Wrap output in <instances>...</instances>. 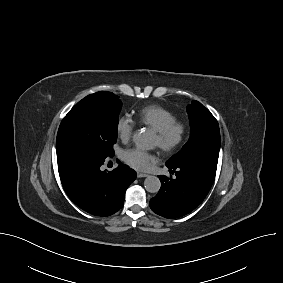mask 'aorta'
Segmentation results:
<instances>
[{"label": "aorta", "instance_id": "aorta-1", "mask_svg": "<svg viewBox=\"0 0 283 283\" xmlns=\"http://www.w3.org/2000/svg\"><path fill=\"white\" fill-rule=\"evenodd\" d=\"M133 142L138 148L151 149L153 147V138L147 131L138 130L133 135ZM146 191L156 193L160 190L161 182L156 176H148L144 181Z\"/></svg>", "mask_w": 283, "mask_h": 283}]
</instances>
